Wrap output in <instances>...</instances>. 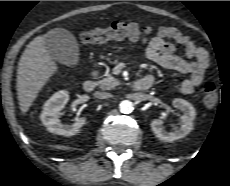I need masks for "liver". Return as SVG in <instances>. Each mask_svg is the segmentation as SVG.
Wrapping results in <instances>:
<instances>
[{
    "instance_id": "6515ba94",
    "label": "liver",
    "mask_w": 230,
    "mask_h": 186,
    "mask_svg": "<svg viewBox=\"0 0 230 186\" xmlns=\"http://www.w3.org/2000/svg\"><path fill=\"white\" fill-rule=\"evenodd\" d=\"M46 35L35 37L25 48L17 69V97L23 114L58 67L46 47Z\"/></svg>"
}]
</instances>
